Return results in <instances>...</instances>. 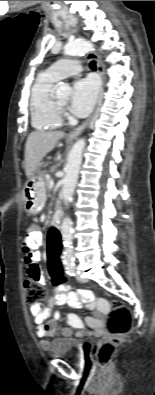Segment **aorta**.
<instances>
[{"mask_svg": "<svg viewBox=\"0 0 155 395\" xmlns=\"http://www.w3.org/2000/svg\"><path fill=\"white\" fill-rule=\"evenodd\" d=\"M93 49V45L87 40H77L66 44L64 53L68 56H77ZM70 93V86L66 83H59L56 91L58 98L66 97ZM85 140L79 139L75 142L70 150L65 166V176L63 179V186L61 194L63 197L64 205L67 207L72 201L73 193L77 184L79 169L82 162V154L85 148ZM61 233L64 245V259L71 261L74 258L73 251V229L72 221L69 216H66L61 224Z\"/></svg>", "mask_w": 155, "mask_h": 395, "instance_id": "aorta-1", "label": "aorta"}]
</instances>
